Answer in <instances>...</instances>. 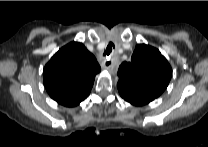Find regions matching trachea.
<instances>
[{
	"label": "trachea",
	"instance_id": "1",
	"mask_svg": "<svg viewBox=\"0 0 208 147\" xmlns=\"http://www.w3.org/2000/svg\"><path fill=\"white\" fill-rule=\"evenodd\" d=\"M112 45H113V44H112ZM113 47H114V45H113ZM106 51H107V53H106ZM106 51H105V53H104V56H106L107 54L111 53V51H112V46H111V45H108L107 48H106Z\"/></svg>",
	"mask_w": 208,
	"mask_h": 147
}]
</instances>
